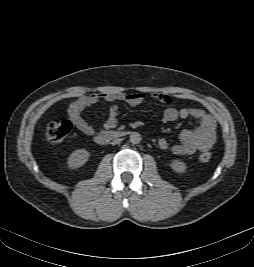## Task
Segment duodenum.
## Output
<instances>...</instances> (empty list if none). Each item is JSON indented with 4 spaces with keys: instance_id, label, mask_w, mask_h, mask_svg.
Returning <instances> with one entry per match:
<instances>
[{
    "instance_id": "obj_1",
    "label": "duodenum",
    "mask_w": 254,
    "mask_h": 267,
    "mask_svg": "<svg viewBox=\"0 0 254 267\" xmlns=\"http://www.w3.org/2000/svg\"><path fill=\"white\" fill-rule=\"evenodd\" d=\"M127 131H106L104 133H101L95 137V140L99 144H107L113 139L123 137L127 135Z\"/></svg>"
}]
</instances>
